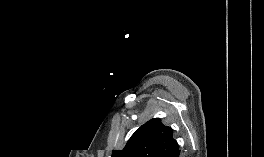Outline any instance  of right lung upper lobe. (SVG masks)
<instances>
[{
    "label": "right lung upper lobe",
    "instance_id": "cb5924a9",
    "mask_svg": "<svg viewBox=\"0 0 264 157\" xmlns=\"http://www.w3.org/2000/svg\"><path fill=\"white\" fill-rule=\"evenodd\" d=\"M173 130L154 118L142 125L123 150H114L112 157H179Z\"/></svg>",
    "mask_w": 264,
    "mask_h": 157
}]
</instances>
